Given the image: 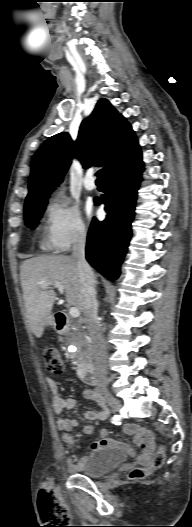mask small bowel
I'll return each instance as SVG.
<instances>
[{"instance_id":"c3829d8e","label":"small bowel","mask_w":192,"mask_h":527,"mask_svg":"<svg viewBox=\"0 0 192 527\" xmlns=\"http://www.w3.org/2000/svg\"><path fill=\"white\" fill-rule=\"evenodd\" d=\"M47 385L51 391L52 394V405L53 410L56 414L60 415L64 411L71 410L75 407L76 401L74 398L71 397H63L58 389L57 382L51 378L48 377L46 379ZM84 398L93 401L97 406V411H86L85 417L88 420H105L108 416V408L106 407L104 401L101 398V395L99 391L95 388H88L85 389L83 392ZM78 424L77 420L75 419H68V418H62L59 417L57 419V428L60 431L68 432L72 430L74 427H76ZM95 430V427L91 424L85 425L82 427V432L84 434H92ZM123 431L125 434L131 436L133 439V442L140 447L141 453L138 455L137 459L140 463L141 468L146 469L149 466V460L151 459L154 448H155V442H154V436L153 434L138 425L134 424H126L123 427ZM102 439L95 442L93 444V447H103V446H110V447H116L123 451H127L129 453H133V449H131L128 445L115 441L111 438L106 437V431H102Z\"/></svg>"}]
</instances>
